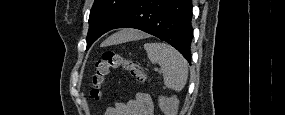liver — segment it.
<instances>
[{
  "instance_id": "liver-1",
  "label": "liver",
  "mask_w": 285,
  "mask_h": 115,
  "mask_svg": "<svg viewBox=\"0 0 285 115\" xmlns=\"http://www.w3.org/2000/svg\"><path fill=\"white\" fill-rule=\"evenodd\" d=\"M145 36H146V34L139 32V31H136V30H123V31H121L120 36L113 35L112 37L105 40L101 44V46L104 47V46H108V45H112V44H118V43L126 42V41L132 40V39L143 38Z\"/></svg>"
}]
</instances>
